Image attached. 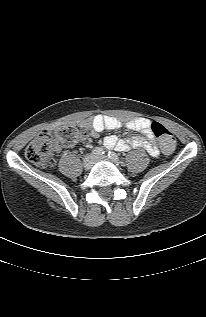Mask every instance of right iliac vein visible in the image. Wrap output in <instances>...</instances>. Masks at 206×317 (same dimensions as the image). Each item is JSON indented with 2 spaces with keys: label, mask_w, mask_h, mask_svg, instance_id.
Listing matches in <instances>:
<instances>
[{
  "label": "right iliac vein",
  "mask_w": 206,
  "mask_h": 317,
  "mask_svg": "<svg viewBox=\"0 0 206 317\" xmlns=\"http://www.w3.org/2000/svg\"><path fill=\"white\" fill-rule=\"evenodd\" d=\"M94 164L93 157L88 155L83 160V167L85 170H90Z\"/></svg>",
  "instance_id": "right-iliac-vein-1"
}]
</instances>
